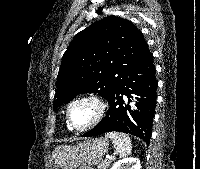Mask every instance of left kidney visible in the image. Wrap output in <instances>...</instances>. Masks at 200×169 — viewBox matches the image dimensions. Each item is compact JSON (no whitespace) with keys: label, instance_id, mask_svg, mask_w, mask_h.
Instances as JSON below:
<instances>
[{"label":"left kidney","instance_id":"5707ae66","mask_svg":"<svg viewBox=\"0 0 200 169\" xmlns=\"http://www.w3.org/2000/svg\"><path fill=\"white\" fill-rule=\"evenodd\" d=\"M140 160L138 158H123L113 164L110 169H140Z\"/></svg>","mask_w":200,"mask_h":169}]
</instances>
